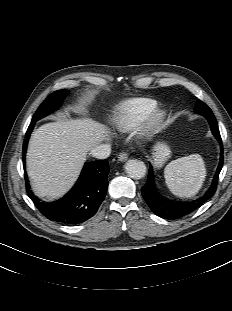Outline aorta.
I'll use <instances>...</instances> for the list:
<instances>
[{
    "mask_svg": "<svg viewBox=\"0 0 232 311\" xmlns=\"http://www.w3.org/2000/svg\"><path fill=\"white\" fill-rule=\"evenodd\" d=\"M125 170L127 175L133 179H141L146 175V166L144 162L136 159L127 161Z\"/></svg>",
    "mask_w": 232,
    "mask_h": 311,
    "instance_id": "1",
    "label": "aorta"
}]
</instances>
